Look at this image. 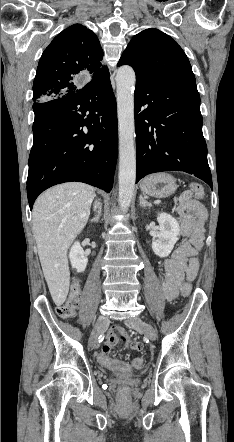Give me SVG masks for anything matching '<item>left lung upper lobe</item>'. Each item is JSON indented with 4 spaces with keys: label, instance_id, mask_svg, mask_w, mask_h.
<instances>
[{
    "label": "left lung upper lobe",
    "instance_id": "5c2ea615",
    "mask_svg": "<svg viewBox=\"0 0 234 442\" xmlns=\"http://www.w3.org/2000/svg\"><path fill=\"white\" fill-rule=\"evenodd\" d=\"M124 64L134 68L136 79L195 82L182 48L169 35L154 28L146 29L132 38L118 66Z\"/></svg>",
    "mask_w": 234,
    "mask_h": 442
}]
</instances>
